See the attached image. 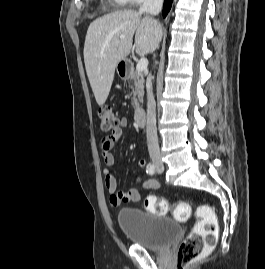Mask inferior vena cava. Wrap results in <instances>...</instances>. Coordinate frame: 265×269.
I'll return each mask as SVG.
<instances>
[{
    "label": "inferior vena cava",
    "instance_id": "inferior-vena-cava-1",
    "mask_svg": "<svg viewBox=\"0 0 265 269\" xmlns=\"http://www.w3.org/2000/svg\"><path fill=\"white\" fill-rule=\"evenodd\" d=\"M162 5L163 0H144L143 5L139 8V13L158 15L162 9ZM146 137L150 158L152 160H160L161 155L156 129L155 100L151 88L147 92Z\"/></svg>",
    "mask_w": 265,
    "mask_h": 269
}]
</instances>
